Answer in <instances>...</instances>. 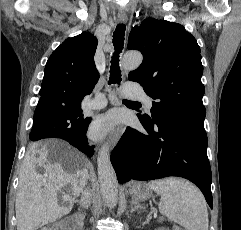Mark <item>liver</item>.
Returning <instances> with one entry per match:
<instances>
[{
  "label": "liver",
  "mask_w": 241,
  "mask_h": 230,
  "mask_svg": "<svg viewBox=\"0 0 241 230\" xmlns=\"http://www.w3.org/2000/svg\"><path fill=\"white\" fill-rule=\"evenodd\" d=\"M51 144V149L33 144L25 155L15 202L17 230H36L68 214L87 183V159L65 142ZM52 150L59 158L53 163L48 159ZM37 167H43L44 173H38ZM65 185L72 189L67 207L58 204L57 196Z\"/></svg>",
  "instance_id": "6515ba94"
}]
</instances>
